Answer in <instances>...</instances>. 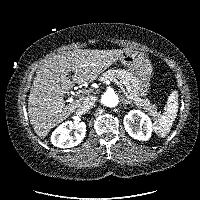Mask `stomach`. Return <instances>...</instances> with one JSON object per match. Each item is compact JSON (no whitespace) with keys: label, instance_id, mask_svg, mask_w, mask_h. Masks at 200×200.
<instances>
[{"label":"stomach","instance_id":"1","mask_svg":"<svg viewBox=\"0 0 200 200\" xmlns=\"http://www.w3.org/2000/svg\"><path fill=\"white\" fill-rule=\"evenodd\" d=\"M118 60L135 76L139 96H146L153 70L148 57L143 52L125 49Z\"/></svg>","mask_w":200,"mask_h":200}]
</instances>
